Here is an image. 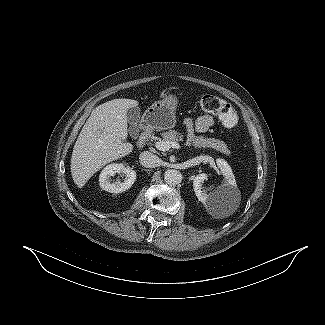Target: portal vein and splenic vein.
Returning a JSON list of instances; mask_svg holds the SVG:
<instances>
[{
  "label": "portal vein and splenic vein",
  "instance_id": "18ae733b",
  "mask_svg": "<svg viewBox=\"0 0 325 325\" xmlns=\"http://www.w3.org/2000/svg\"><path fill=\"white\" fill-rule=\"evenodd\" d=\"M155 147L160 151H168L170 148L180 149L181 146L177 142L158 141Z\"/></svg>",
  "mask_w": 325,
  "mask_h": 325
}]
</instances>
